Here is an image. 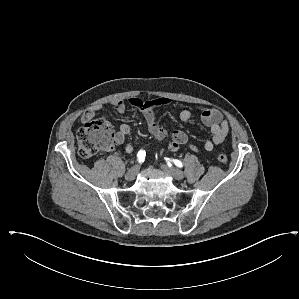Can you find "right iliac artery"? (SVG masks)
Returning <instances> with one entry per match:
<instances>
[{
	"mask_svg": "<svg viewBox=\"0 0 299 299\" xmlns=\"http://www.w3.org/2000/svg\"><path fill=\"white\" fill-rule=\"evenodd\" d=\"M146 153L144 150H140L137 154L138 162L142 164L145 160Z\"/></svg>",
	"mask_w": 299,
	"mask_h": 299,
	"instance_id": "obj_1",
	"label": "right iliac artery"
}]
</instances>
